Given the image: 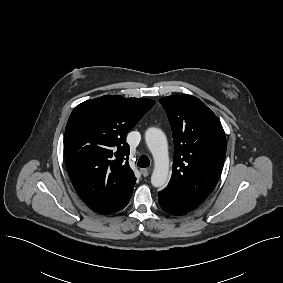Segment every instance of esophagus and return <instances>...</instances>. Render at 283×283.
Returning a JSON list of instances; mask_svg holds the SVG:
<instances>
[{
    "instance_id": "34e87169",
    "label": "esophagus",
    "mask_w": 283,
    "mask_h": 283,
    "mask_svg": "<svg viewBox=\"0 0 283 283\" xmlns=\"http://www.w3.org/2000/svg\"><path fill=\"white\" fill-rule=\"evenodd\" d=\"M140 171H141V173L144 177H147L149 175V172H150L149 169H147V168H141Z\"/></svg>"
}]
</instances>
